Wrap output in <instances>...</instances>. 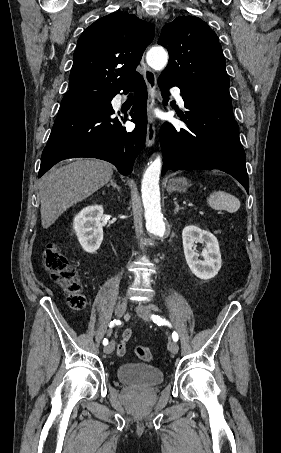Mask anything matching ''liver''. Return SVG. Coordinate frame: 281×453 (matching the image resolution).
I'll list each match as a JSON object with an SVG mask.
<instances>
[{
    "label": "liver",
    "instance_id": "liver-1",
    "mask_svg": "<svg viewBox=\"0 0 281 453\" xmlns=\"http://www.w3.org/2000/svg\"><path fill=\"white\" fill-rule=\"evenodd\" d=\"M113 164L96 158H76L66 166H53L39 180L41 224L48 229L56 218L111 180Z\"/></svg>",
    "mask_w": 281,
    "mask_h": 453
}]
</instances>
